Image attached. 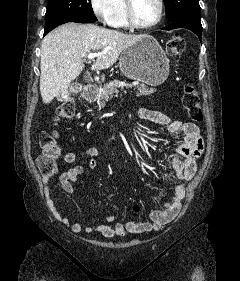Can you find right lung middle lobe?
Masks as SVG:
<instances>
[{"mask_svg":"<svg viewBox=\"0 0 240 281\" xmlns=\"http://www.w3.org/2000/svg\"><path fill=\"white\" fill-rule=\"evenodd\" d=\"M96 20L91 0H48L44 34L63 23H92Z\"/></svg>","mask_w":240,"mask_h":281,"instance_id":"obj_1","label":"right lung middle lobe"}]
</instances>
